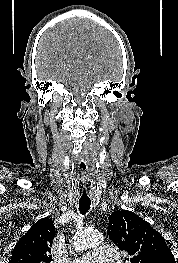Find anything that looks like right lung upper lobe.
<instances>
[{"label":"right lung upper lobe","instance_id":"cb5924a9","mask_svg":"<svg viewBox=\"0 0 178 263\" xmlns=\"http://www.w3.org/2000/svg\"><path fill=\"white\" fill-rule=\"evenodd\" d=\"M53 221L38 220L16 244L9 263H50V248L55 237Z\"/></svg>","mask_w":178,"mask_h":263}]
</instances>
